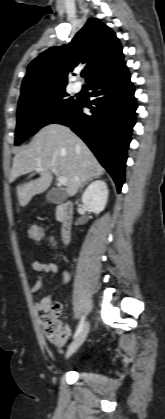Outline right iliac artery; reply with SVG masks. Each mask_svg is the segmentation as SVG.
Here are the masks:
<instances>
[{"label": "right iliac artery", "mask_w": 165, "mask_h": 419, "mask_svg": "<svg viewBox=\"0 0 165 419\" xmlns=\"http://www.w3.org/2000/svg\"><path fill=\"white\" fill-rule=\"evenodd\" d=\"M83 326H84V316L81 318V321H80V323H79V325H78V327L75 331V334H74L73 338H76L79 335V333L83 329Z\"/></svg>", "instance_id": "1"}]
</instances>
